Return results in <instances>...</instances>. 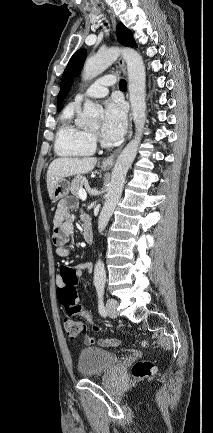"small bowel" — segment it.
Listing matches in <instances>:
<instances>
[{
  "label": "small bowel",
  "instance_id": "c3829d8e",
  "mask_svg": "<svg viewBox=\"0 0 213 433\" xmlns=\"http://www.w3.org/2000/svg\"><path fill=\"white\" fill-rule=\"evenodd\" d=\"M73 205L74 203L68 199L62 200L58 204L53 217L54 232L52 239L56 245V254L61 258H66L71 253V250L68 246H66V243L68 239L74 235L73 218L69 212L70 207ZM82 221L83 228L85 226H90V221L87 215L84 214L82 216ZM72 268L75 269L77 275L80 276L85 272L90 273L92 271V264L82 263ZM56 284L58 289L63 286V281L60 274H58L56 277ZM85 342L87 344H93L95 342V338L92 336H86ZM99 344L103 346H117L119 345V340L115 338L100 339Z\"/></svg>",
  "mask_w": 213,
  "mask_h": 433
}]
</instances>
